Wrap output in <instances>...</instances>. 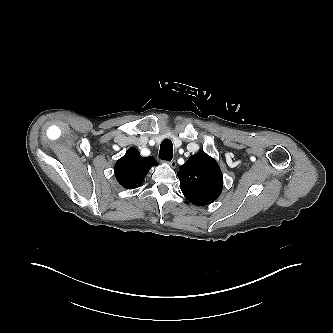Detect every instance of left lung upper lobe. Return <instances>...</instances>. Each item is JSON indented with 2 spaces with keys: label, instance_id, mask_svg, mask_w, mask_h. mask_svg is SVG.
I'll list each match as a JSON object with an SVG mask.
<instances>
[{
  "label": "left lung upper lobe",
  "instance_id": "left-lung-upper-lobe-1",
  "mask_svg": "<svg viewBox=\"0 0 333 333\" xmlns=\"http://www.w3.org/2000/svg\"><path fill=\"white\" fill-rule=\"evenodd\" d=\"M181 191L193 204L204 206L222 192L223 175L216 161L201 151L189 157L177 173Z\"/></svg>",
  "mask_w": 333,
  "mask_h": 333
}]
</instances>
